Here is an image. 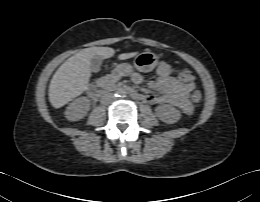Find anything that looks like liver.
<instances>
[{"instance_id": "6515ba94", "label": "liver", "mask_w": 260, "mask_h": 202, "mask_svg": "<svg viewBox=\"0 0 260 202\" xmlns=\"http://www.w3.org/2000/svg\"><path fill=\"white\" fill-rule=\"evenodd\" d=\"M115 50L109 47H91L68 58L55 72L49 85V101L60 108L81 95L88 87L91 77L90 60L94 56L110 58ZM138 52L123 53L119 59L134 57Z\"/></svg>"}]
</instances>
